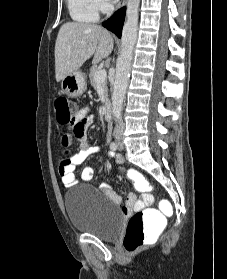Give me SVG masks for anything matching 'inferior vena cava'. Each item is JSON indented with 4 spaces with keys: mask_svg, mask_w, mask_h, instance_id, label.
<instances>
[{
    "mask_svg": "<svg viewBox=\"0 0 227 279\" xmlns=\"http://www.w3.org/2000/svg\"><path fill=\"white\" fill-rule=\"evenodd\" d=\"M123 131H124V124H123V122L120 120V121L116 124V126H115V128H114V135H115V136H119V135H121V134L123 133Z\"/></svg>",
    "mask_w": 227,
    "mask_h": 279,
    "instance_id": "1",
    "label": "inferior vena cava"
}]
</instances>
